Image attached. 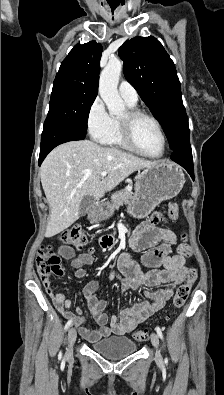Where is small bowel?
Instances as JSON below:
<instances>
[{
	"mask_svg": "<svg viewBox=\"0 0 224 395\" xmlns=\"http://www.w3.org/2000/svg\"><path fill=\"white\" fill-rule=\"evenodd\" d=\"M160 218L161 214L155 213L143 221L129 240L133 251L143 252L141 263L150 271L143 272L128 253H123L118 259V266L124 278L120 279L111 273L109 279L119 281L123 290L160 285H164L165 288L145 290V300L130 307L121 308L118 316L114 315L109 319L104 313L106 301L97 296L99 281H90L79 295L85 300L90 315L99 325L98 329H87L86 319L82 316L80 309L76 308L75 312L70 311L71 301L65 295L54 291L50 278L42 277L43 285L56 309L66 319L72 320L87 341L94 343L111 335L128 334L138 324L162 309L171 297L174 288L185 279V263L191 255V247L185 242L179 243L176 247V254L171 255V247L176 244V235L157 226ZM158 242H161L160 245L152 248ZM58 253L62 258L70 260L77 279L84 278L85 267L93 264V256L90 253L76 255L75 250L67 245L59 246Z\"/></svg>",
	"mask_w": 224,
	"mask_h": 395,
	"instance_id": "small-bowel-1",
	"label": "small bowel"
}]
</instances>
